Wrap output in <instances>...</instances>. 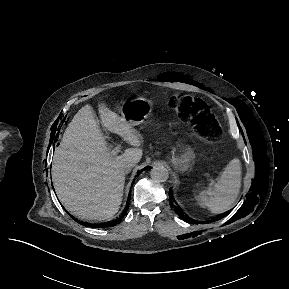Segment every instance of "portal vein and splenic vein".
<instances>
[{"mask_svg": "<svg viewBox=\"0 0 289 289\" xmlns=\"http://www.w3.org/2000/svg\"><path fill=\"white\" fill-rule=\"evenodd\" d=\"M118 152H119V147H115V148L111 151V154H112L113 156H115Z\"/></svg>", "mask_w": 289, "mask_h": 289, "instance_id": "obj_1", "label": "portal vein and splenic vein"}]
</instances>
